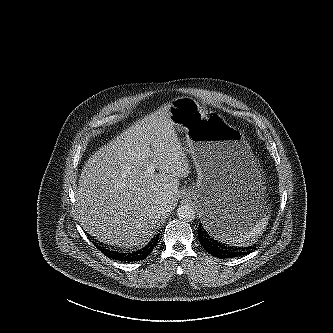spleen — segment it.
<instances>
[{"instance_id": "spleen-1", "label": "spleen", "mask_w": 333, "mask_h": 333, "mask_svg": "<svg viewBox=\"0 0 333 333\" xmlns=\"http://www.w3.org/2000/svg\"><path fill=\"white\" fill-rule=\"evenodd\" d=\"M268 224V217L264 216L248 227L241 228L220 238L222 242L237 246L252 244L264 231Z\"/></svg>"}]
</instances>
